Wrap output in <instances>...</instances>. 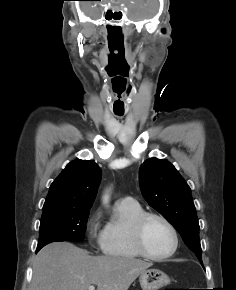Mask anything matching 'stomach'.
Listing matches in <instances>:
<instances>
[{"instance_id":"stomach-1","label":"stomach","mask_w":236,"mask_h":290,"mask_svg":"<svg viewBox=\"0 0 236 290\" xmlns=\"http://www.w3.org/2000/svg\"><path fill=\"white\" fill-rule=\"evenodd\" d=\"M139 282L143 290H158L168 285L170 279L158 269H148L140 274Z\"/></svg>"}]
</instances>
